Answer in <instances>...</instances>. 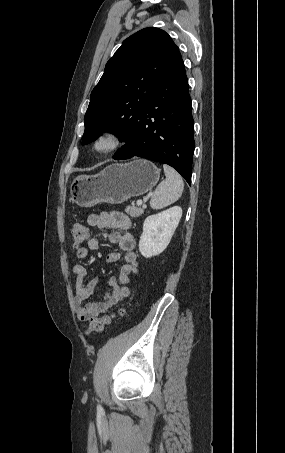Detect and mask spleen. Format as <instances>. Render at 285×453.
Here are the masks:
<instances>
[{"mask_svg":"<svg viewBox=\"0 0 285 453\" xmlns=\"http://www.w3.org/2000/svg\"><path fill=\"white\" fill-rule=\"evenodd\" d=\"M166 179L162 181L154 191L150 206L159 210L176 202L182 195L184 183L181 176L168 165H163Z\"/></svg>","mask_w":285,"mask_h":453,"instance_id":"obj_1","label":"spleen"}]
</instances>
